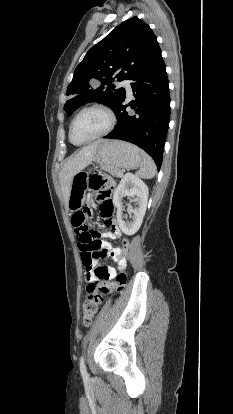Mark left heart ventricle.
Returning <instances> with one entry per match:
<instances>
[{"label":"left heart ventricle","instance_id":"b2bd125f","mask_svg":"<svg viewBox=\"0 0 233 414\" xmlns=\"http://www.w3.org/2000/svg\"><path fill=\"white\" fill-rule=\"evenodd\" d=\"M106 125L107 119L101 112L97 110L84 112L73 126L72 139L75 142L85 141L101 132Z\"/></svg>","mask_w":233,"mask_h":414}]
</instances>
